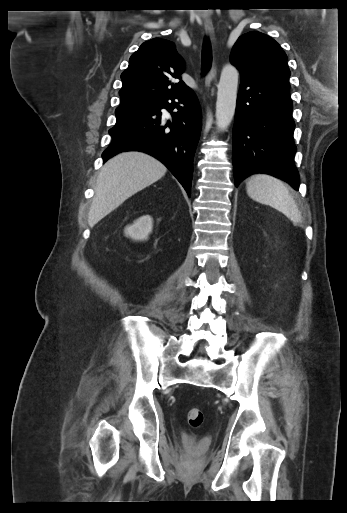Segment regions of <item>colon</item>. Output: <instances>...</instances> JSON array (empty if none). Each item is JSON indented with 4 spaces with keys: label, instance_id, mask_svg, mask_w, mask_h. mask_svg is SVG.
<instances>
[{
    "label": "colon",
    "instance_id": "colon-1",
    "mask_svg": "<svg viewBox=\"0 0 347 513\" xmlns=\"http://www.w3.org/2000/svg\"><path fill=\"white\" fill-rule=\"evenodd\" d=\"M187 421L192 427H200L204 422V415L200 409L191 408L187 412Z\"/></svg>",
    "mask_w": 347,
    "mask_h": 513
}]
</instances>
